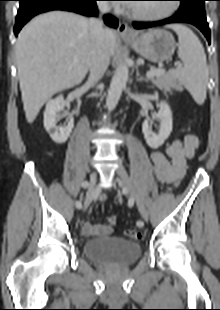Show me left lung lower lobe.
<instances>
[{"label": "left lung lower lobe", "instance_id": "obj_1", "mask_svg": "<svg viewBox=\"0 0 220 310\" xmlns=\"http://www.w3.org/2000/svg\"><path fill=\"white\" fill-rule=\"evenodd\" d=\"M172 23H189L196 26L207 38L208 43L210 44V29L208 23L206 21V16L203 13L198 12H180L179 10L175 15L167 18L165 20L157 21V22H134L133 26L136 29H145L155 26H161L165 24Z\"/></svg>", "mask_w": 220, "mask_h": 310}]
</instances>
